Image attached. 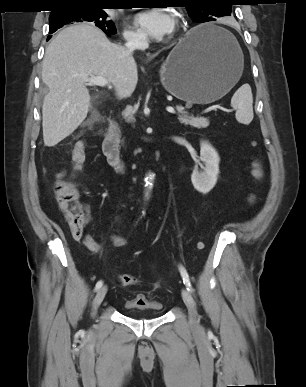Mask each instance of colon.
<instances>
[{
	"label": "colon",
	"instance_id": "obj_1",
	"mask_svg": "<svg viewBox=\"0 0 306 387\" xmlns=\"http://www.w3.org/2000/svg\"><path fill=\"white\" fill-rule=\"evenodd\" d=\"M85 158L86 144L83 141H79L72 151L74 171L81 169ZM252 175L256 181H260L263 177L262 166L258 160L253 163ZM54 191L56 201L64 213L72 236L80 238L87 226V218L84 208L79 202V192L75 183L72 180H60L56 182ZM199 245H202V243H199ZM118 281L121 286L130 287L138 284L139 278L134 275L121 274L118 276Z\"/></svg>",
	"mask_w": 306,
	"mask_h": 387
}]
</instances>
